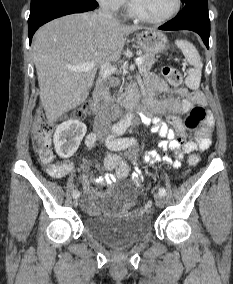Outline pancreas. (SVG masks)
<instances>
[{
	"instance_id": "obj_1",
	"label": "pancreas",
	"mask_w": 233,
	"mask_h": 284,
	"mask_svg": "<svg viewBox=\"0 0 233 284\" xmlns=\"http://www.w3.org/2000/svg\"><path fill=\"white\" fill-rule=\"evenodd\" d=\"M141 57L143 58V62L139 65V71L141 73H144V72L151 69V67H152L153 63H155L156 59H155L154 55L148 54V53H144ZM124 97H125V95L122 94L120 97H118L117 101H120Z\"/></svg>"
}]
</instances>
